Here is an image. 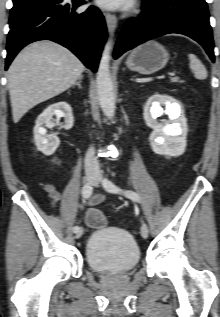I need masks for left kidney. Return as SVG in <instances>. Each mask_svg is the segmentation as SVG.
I'll return each mask as SVG.
<instances>
[{"label": "left kidney", "mask_w": 220, "mask_h": 317, "mask_svg": "<svg viewBox=\"0 0 220 317\" xmlns=\"http://www.w3.org/2000/svg\"><path fill=\"white\" fill-rule=\"evenodd\" d=\"M161 104L166 106L165 113L170 119L162 123L157 121L164 112ZM143 115L146 125L153 129L149 141L155 153L176 157L185 152L187 120L175 99L155 93L147 100Z\"/></svg>", "instance_id": "left-kidney-1"}]
</instances>
